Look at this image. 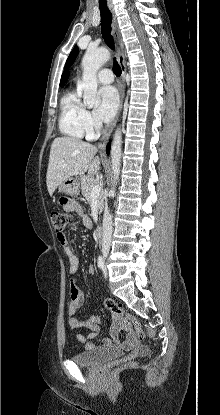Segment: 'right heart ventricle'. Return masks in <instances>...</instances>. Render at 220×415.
<instances>
[{
    "label": "right heart ventricle",
    "mask_w": 220,
    "mask_h": 415,
    "mask_svg": "<svg viewBox=\"0 0 220 415\" xmlns=\"http://www.w3.org/2000/svg\"><path fill=\"white\" fill-rule=\"evenodd\" d=\"M58 126L63 135L71 138L92 137L86 124V109L74 90L66 92L61 98Z\"/></svg>",
    "instance_id": "e07e8e85"
}]
</instances>
